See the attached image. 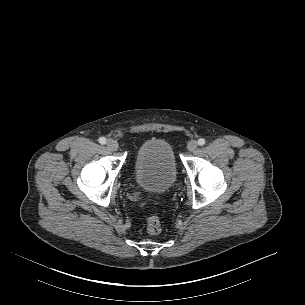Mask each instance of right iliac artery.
<instances>
[{"mask_svg":"<svg viewBox=\"0 0 305 305\" xmlns=\"http://www.w3.org/2000/svg\"><path fill=\"white\" fill-rule=\"evenodd\" d=\"M99 143H100V144H105V143H106V138L100 137V138H99Z\"/></svg>","mask_w":305,"mask_h":305,"instance_id":"1","label":"right iliac artery"}]
</instances>
